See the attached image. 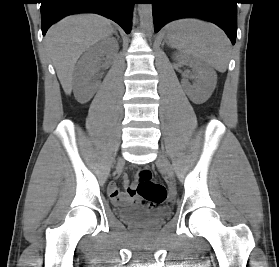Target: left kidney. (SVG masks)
Instances as JSON below:
<instances>
[{
    "instance_id": "1",
    "label": "left kidney",
    "mask_w": 279,
    "mask_h": 267,
    "mask_svg": "<svg viewBox=\"0 0 279 267\" xmlns=\"http://www.w3.org/2000/svg\"><path fill=\"white\" fill-rule=\"evenodd\" d=\"M178 60L185 61L196 73L197 79L193 85L183 80L182 87L195 104H202L208 100L215 89L217 82L216 72L201 60L188 55H178Z\"/></svg>"
}]
</instances>
